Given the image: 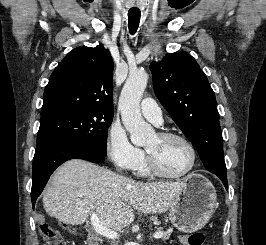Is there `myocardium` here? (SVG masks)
<instances>
[{
  "label": "myocardium",
  "mask_w": 266,
  "mask_h": 245,
  "mask_svg": "<svg viewBox=\"0 0 266 245\" xmlns=\"http://www.w3.org/2000/svg\"><path fill=\"white\" fill-rule=\"evenodd\" d=\"M158 136L164 138V139H178L180 141H182L183 143L186 144V146L188 147L190 154H191V161L189 164V167L187 168V170L185 172H183L180 175H168L165 174L163 172H161L155 165V163L153 162L152 158L150 157V155L148 154V152L146 151V165L147 168L149 170V172L157 178H162V179H168V180H181L186 178L195 168L196 166V162H197V151L193 145V143L184 135L179 134V133H174V132H169V131H162L157 133Z\"/></svg>",
  "instance_id": "myocardium-1"
}]
</instances>
